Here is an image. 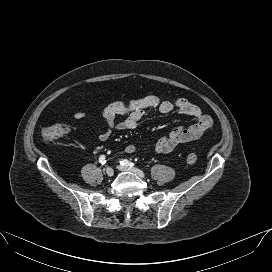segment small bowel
<instances>
[{"label":"small bowel","instance_id":"c3829d8e","mask_svg":"<svg viewBox=\"0 0 272 272\" xmlns=\"http://www.w3.org/2000/svg\"><path fill=\"white\" fill-rule=\"evenodd\" d=\"M193 117L196 123L183 127L174 128L167 135L159 138L154 150L158 153H168L176 149L179 145L192 142L209 132L213 125L210 116L204 114L200 107L186 99L174 101L162 100L157 96L148 95L144 97L132 98L127 101L113 102L101 110V118L105 128L97 133L101 141L107 140L113 130H133L140 124L146 112L169 114L173 111ZM119 115H126L121 121L117 120ZM73 117L77 120H89L90 116L83 111H75ZM137 146L128 144L125 153L132 154L137 151Z\"/></svg>","mask_w":272,"mask_h":272}]
</instances>
